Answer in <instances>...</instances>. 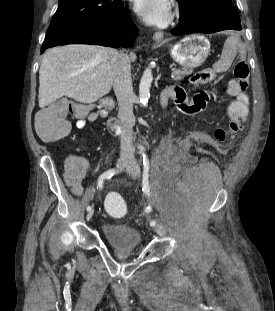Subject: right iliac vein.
<instances>
[{"instance_id": "obj_1", "label": "right iliac vein", "mask_w": 275, "mask_h": 311, "mask_svg": "<svg viewBox=\"0 0 275 311\" xmlns=\"http://www.w3.org/2000/svg\"><path fill=\"white\" fill-rule=\"evenodd\" d=\"M131 164V159L129 158H120L117 162V165H116V168L118 170H123L124 168H126L127 166H129ZM94 214V210L91 209L88 213H87V216H86V219L87 220H90L92 218Z\"/></svg>"}]
</instances>
